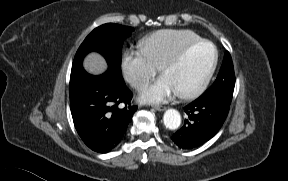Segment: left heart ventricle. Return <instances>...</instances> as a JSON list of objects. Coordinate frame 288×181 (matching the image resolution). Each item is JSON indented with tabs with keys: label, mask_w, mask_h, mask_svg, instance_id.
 Masks as SVG:
<instances>
[{
	"label": "left heart ventricle",
	"mask_w": 288,
	"mask_h": 181,
	"mask_svg": "<svg viewBox=\"0 0 288 181\" xmlns=\"http://www.w3.org/2000/svg\"><path fill=\"white\" fill-rule=\"evenodd\" d=\"M214 57V48L209 44H202L190 51L180 64L168 70L163 77L176 92L189 90L206 77Z\"/></svg>",
	"instance_id": "left-heart-ventricle-1"
}]
</instances>
